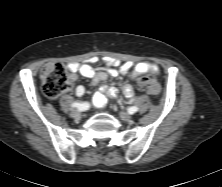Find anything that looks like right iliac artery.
Listing matches in <instances>:
<instances>
[{
	"label": "right iliac artery",
	"mask_w": 222,
	"mask_h": 187,
	"mask_svg": "<svg viewBox=\"0 0 222 187\" xmlns=\"http://www.w3.org/2000/svg\"><path fill=\"white\" fill-rule=\"evenodd\" d=\"M71 107L78 108L80 111H85L90 107V104L87 102H74Z\"/></svg>",
	"instance_id": "1"
}]
</instances>
